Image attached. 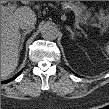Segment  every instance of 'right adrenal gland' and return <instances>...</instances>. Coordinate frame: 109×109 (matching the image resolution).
<instances>
[{
	"label": "right adrenal gland",
	"mask_w": 109,
	"mask_h": 109,
	"mask_svg": "<svg viewBox=\"0 0 109 109\" xmlns=\"http://www.w3.org/2000/svg\"><path fill=\"white\" fill-rule=\"evenodd\" d=\"M29 33V31H25L21 34V40H20V46H19V50L21 51L23 48V43L25 40V36Z\"/></svg>",
	"instance_id": "2a0ac1e0"
}]
</instances>
